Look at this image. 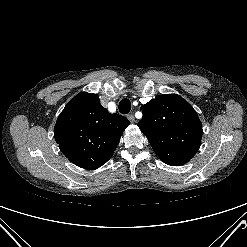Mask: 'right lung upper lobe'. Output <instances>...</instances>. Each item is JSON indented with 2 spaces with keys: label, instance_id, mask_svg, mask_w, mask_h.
I'll return each mask as SVG.
<instances>
[{
  "label": "right lung upper lobe",
  "instance_id": "obj_1",
  "mask_svg": "<svg viewBox=\"0 0 247 247\" xmlns=\"http://www.w3.org/2000/svg\"><path fill=\"white\" fill-rule=\"evenodd\" d=\"M129 124L124 116L108 113L98 95L81 92L59 115L54 137L73 164L95 170L110 159Z\"/></svg>",
  "mask_w": 247,
  "mask_h": 247
}]
</instances>
